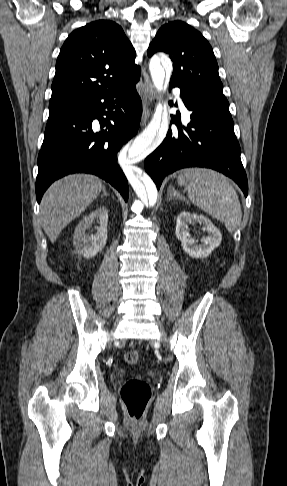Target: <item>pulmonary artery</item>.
Instances as JSON below:
<instances>
[{
  "label": "pulmonary artery",
  "mask_w": 287,
  "mask_h": 486,
  "mask_svg": "<svg viewBox=\"0 0 287 486\" xmlns=\"http://www.w3.org/2000/svg\"><path fill=\"white\" fill-rule=\"evenodd\" d=\"M179 102H180V106H181V108H182V110L184 112L185 117L188 118V112H187L186 108L184 107V105H183V103H182L181 100H179Z\"/></svg>",
  "instance_id": "e3ab8cb5"
}]
</instances>
